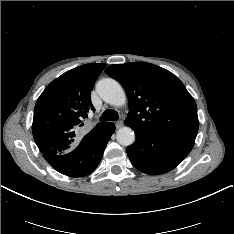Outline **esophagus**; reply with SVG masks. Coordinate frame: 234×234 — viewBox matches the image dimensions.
Listing matches in <instances>:
<instances>
[{
  "mask_svg": "<svg viewBox=\"0 0 234 234\" xmlns=\"http://www.w3.org/2000/svg\"><path fill=\"white\" fill-rule=\"evenodd\" d=\"M115 126H116L117 129L121 128L123 126V121H117L115 123Z\"/></svg>",
  "mask_w": 234,
  "mask_h": 234,
  "instance_id": "1",
  "label": "esophagus"
}]
</instances>
